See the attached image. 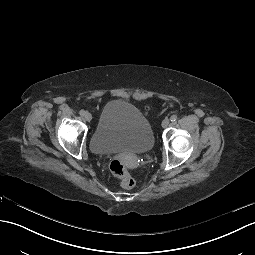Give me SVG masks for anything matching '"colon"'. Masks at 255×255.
Returning <instances> with one entry per match:
<instances>
[{
    "instance_id": "5ec220e1",
    "label": "colon",
    "mask_w": 255,
    "mask_h": 255,
    "mask_svg": "<svg viewBox=\"0 0 255 255\" xmlns=\"http://www.w3.org/2000/svg\"><path fill=\"white\" fill-rule=\"evenodd\" d=\"M110 170L118 178L122 188L131 189L135 186V179L128 172L124 161L114 159L110 163Z\"/></svg>"
}]
</instances>
